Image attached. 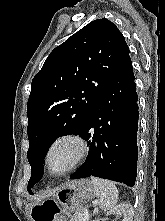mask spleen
<instances>
[{
    "label": "spleen",
    "instance_id": "obj_1",
    "mask_svg": "<svg viewBox=\"0 0 165 221\" xmlns=\"http://www.w3.org/2000/svg\"><path fill=\"white\" fill-rule=\"evenodd\" d=\"M91 179L100 208L103 210L112 209L118 201V189L115 184L100 178L92 177Z\"/></svg>",
    "mask_w": 165,
    "mask_h": 221
}]
</instances>
